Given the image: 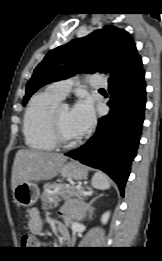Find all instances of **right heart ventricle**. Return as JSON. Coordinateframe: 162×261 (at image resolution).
I'll use <instances>...</instances> for the list:
<instances>
[{
    "label": "right heart ventricle",
    "instance_id": "e07e8e85",
    "mask_svg": "<svg viewBox=\"0 0 162 261\" xmlns=\"http://www.w3.org/2000/svg\"><path fill=\"white\" fill-rule=\"evenodd\" d=\"M60 100L48 89L32 96L23 119V134L29 148L52 151L56 147L50 133L49 116Z\"/></svg>",
    "mask_w": 162,
    "mask_h": 261
}]
</instances>
